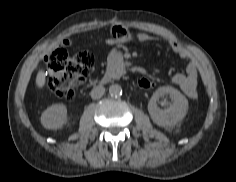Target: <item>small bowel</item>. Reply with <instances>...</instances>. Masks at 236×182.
<instances>
[{"mask_svg":"<svg viewBox=\"0 0 236 182\" xmlns=\"http://www.w3.org/2000/svg\"><path fill=\"white\" fill-rule=\"evenodd\" d=\"M112 38L107 40L108 46H118L120 44L128 43L134 39L140 42H146L155 39L153 36L146 33H139L134 37L126 28L122 26H114L111 29ZM167 41L170 49L176 53L181 59L187 62L184 73H177L171 77L173 84L177 85L181 91L189 98H196L198 85V69L197 63L191 53L185 49L178 41L163 37ZM71 41L65 39L63 45L69 46Z\"/></svg>","mask_w":236,"mask_h":182,"instance_id":"c3829d8e","label":"small bowel"}]
</instances>
